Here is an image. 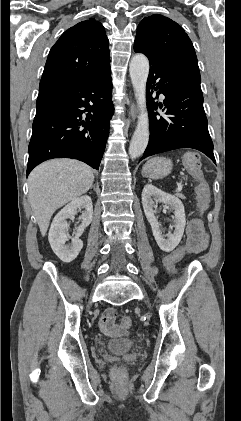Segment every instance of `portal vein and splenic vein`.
<instances>
[{"label": "portal vein and splenic vein", "mask_w": 241, "mask_h": 421, "mask_svg": "<svg viewBox=\"0 0 241 421\" xmlns=\"http://www.w3.org/2000/svg\"><path fill=\"white\" fill-rule=\"evenodd\" d=\"M181 190H182V184L181 183H178L177 184L176 192H180Z\"/></svg>", "instance_id": "obj_1"}]
</instances>
